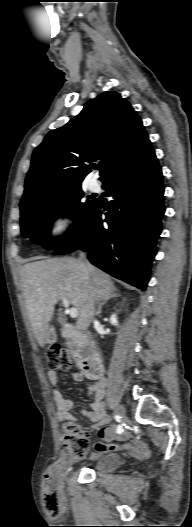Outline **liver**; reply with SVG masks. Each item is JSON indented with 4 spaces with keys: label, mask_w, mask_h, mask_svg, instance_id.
<instances>
[{
    "label": "liver",
    "mask_w": 192,
    "mask_h": 527,
    "mask_svg": "<svg viewBox=\"0 0 192 527\" xmlns=\"http://www.w3.org/2000/svg\"><path fill=\"white\" fill-rule=\"evenodd\" d=\"M25 308L41 347L46 344L54 306L66 298L78 311L76 329L86 330L95 304L116 290L111 278L87 261L72 257L30 262L20 269Z\"/></svg>",
    "instance_id": "liver-1"
}]
</instances>
